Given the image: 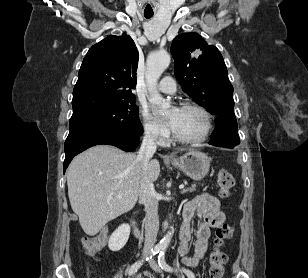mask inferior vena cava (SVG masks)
I'll list each match as a JSON object with an SVG mask.
<instances>
[{"instance_id":"602c4592","label":"inferior vena cava","mask_w":308,"mask_h":278,"mask_svg":"<svg viewBox=\"0 0 308 278\" xmlns=\"http://www.w3.org/2000/svg\"><path fill=\"white\" fill-rule=\"evenodd\" d=\"M156 139L157 134L154 131H146L137 156L145 172L139 190V199L144 204L146 212L144 253H149L153 249L159 231L158 197L153 182L146 174L149 160L156 152Z\"/></svg>"}]
</instances>
